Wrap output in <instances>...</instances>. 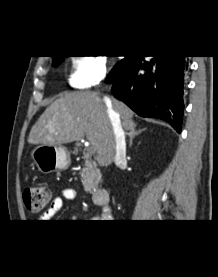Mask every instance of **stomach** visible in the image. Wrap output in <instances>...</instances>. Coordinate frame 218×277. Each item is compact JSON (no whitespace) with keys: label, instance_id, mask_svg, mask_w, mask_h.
<instances>
[{"label":"stomach","instance_id":"stomach-1","mask_svg":"<svg viewBox=\"0 0 218 277\" xmlns=\"http://www.w3.org/2000/svg\"><path fill=\"white\" fill-rule=\"evenodd\" d=\"M31 157L38 170L45 174L70 166V154L63 146L39 145L31 152Z\"/></svg>","mask_w":218,"mask_h":277}]
</instances>
